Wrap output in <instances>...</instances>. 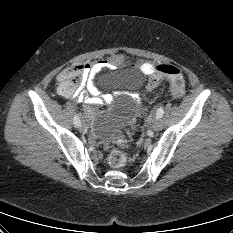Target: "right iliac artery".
I'll return each instance as SVG.
<instances>
[{"label":"right iliac artery","instance_id":"right-iliac-artery-1","mask_svg":"<svg viewBox=\"0 0 233 233\" xmlns=\"http://www.w3.org/2000/svg\"><path fill=\"white\" fill-rule=\"evenodd\" d=\"M73 123L76 127L79 123H81L79 116L77 114L74 116Z\"/></svg>","mask_w":233,"mask_h":233}]
</instances>
